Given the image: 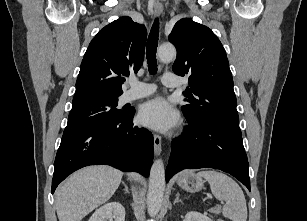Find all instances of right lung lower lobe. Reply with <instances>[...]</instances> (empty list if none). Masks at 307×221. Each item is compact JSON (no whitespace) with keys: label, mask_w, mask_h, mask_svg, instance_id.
<instances>
[{"label":"right lung lower lobe","mask_w":307,"mask_h":221,"mask_svg":"<svg viewBox=\"0 0 307 221\" xmlns=\"http://www.w3.org/2000/svg\"><path fill=\"white\" fill-rule=\"evenodd\" d=\"M135 111L62 136L54 163L52 190L74 171L88 165H110L148 177L153 160V135L133 125Z\"/></svg>","instance_id":"right-lung-lower-lobe-1"}]
</instances>
